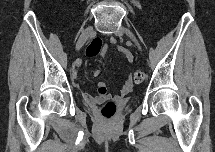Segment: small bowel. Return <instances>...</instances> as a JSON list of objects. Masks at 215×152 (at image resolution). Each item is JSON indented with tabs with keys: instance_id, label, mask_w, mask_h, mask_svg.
<instances>
[{
	"instance_id": "small-bowel-1",
	"label": "small bowel",
	"mask_w": 215,
	"mask_h": 152,
	"mask_svg": "<svg viewBox=\"0 0 215 152\" xmlns=\"http://www.w3.org/2000/svg\"><path fill=\"white\" fill-rule=\"evenodd\" d=\"M110 43L111 45H113L116 50L121 53L122 55L125 56L126 60L131 63L133 61V55L132 53L127 49L125 48L124 46L120 45L117 43L116 39L115 38H111L110 39ZM106 52V47L103 48V53ZM79 62L76 64V67L74 69V72H73V79H76V76H77V69L79 67ZM100 75V70L97 69L94 71V76L97 77ZM96 88H97V95L96 96H93L87 92H83L82 95L84 97V99L86 100V102H88L89 104H96L97 102L105 99L108 97V94H107V89H106V85L104 82H98L97 85H96ZM132 90V81L130 78L126 79V81L124 82L122 88H121V93H120V96L121 97H124L126 95H128Z\"/></svg>"
}]
</instances>
